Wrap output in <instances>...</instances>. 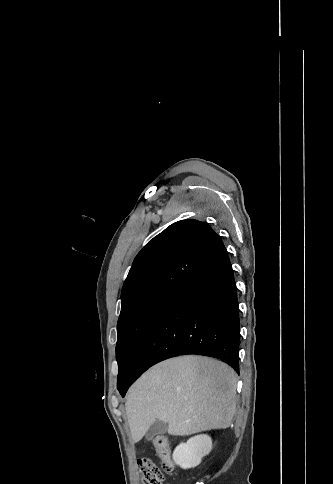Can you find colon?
<instances>
[{
	"mask_svg": "<svg viewBox=\"0 0 333 484\" xmlns=\"http://www.w3.org/2000/svg\"><path fill=\"white\" fill-rule=\"evenodd\" d=\"M152 444L161 458V465H157L150 459H142L140 461L142 481L143 484H164L166 476L175 470L169 441L167 437L158 435L153 438Z\"/></svg>",
	"mask_w": 333,
	"mask_h": 484,
	"instance_id": "obj_1",
	"label": "colon"
}]
</instances>
